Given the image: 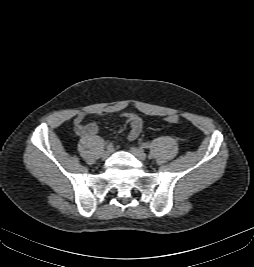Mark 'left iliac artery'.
Here are the masks:
<instances>
[{"label": "left iliac artery", "instance_id": "left-iliac-artery-1", "mask_svg": "<svg viewBox=\"0 0 254 267\" xmlns=\"http://www.w3.org/2000/svg\"><path fill=\"white\" fill-rule=\"evenodd\" d=\"M149 147H150V145L148 143H142L141 144V148L148 149Z\"/></svg>", "mask_w": 254, "mask_h": 267}]
</instances>
